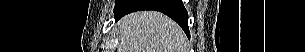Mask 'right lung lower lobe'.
Instances as JSON below:
<instances>
[{"instance_id": "98d812e1", "label": "right lung lower lobe", "mask_w": 305, "mask_h": 52, "mask_svg": "<svg viewBox=\"0 0 305 52\" xmlns=\"http://www.w3.org/2000/svg\"><path fill=\"white\" fill-rule=\"evenodd\" d=\"M138 10H157L175 20L189 37L188 14L181 0H117L114 8L116 20Z\"/></svg>"}]
</instances>
